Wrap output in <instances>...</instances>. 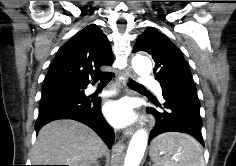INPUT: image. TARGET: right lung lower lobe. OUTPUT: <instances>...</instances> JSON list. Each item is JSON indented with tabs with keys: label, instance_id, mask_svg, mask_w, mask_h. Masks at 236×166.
<instances>
[{
	"label": "right lung lower lobe",
	"instance_id": "1",
	"mask_svg": "<svg viewBox=\"0 0 236 166\" xmlns=\"http://www.w3.org/2000/svg\"><path fill=\"white\" fill-rule=\"evenodd\" d=\"M88 84L60 80L44 83L36 133L47 123L58 119H72L93 129L109 148L114 141V130L104 119L99 99L90 100L84 94Z\"/></svg>",
	"mask_w": 236,
	"mask_h": 166
}]
</instances>
